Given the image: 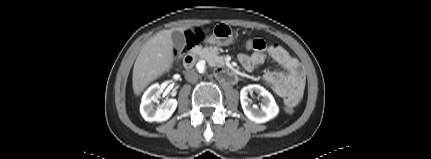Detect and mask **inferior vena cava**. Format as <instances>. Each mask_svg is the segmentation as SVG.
<instances>
[{
    "instance_id": "obj_1",
    "label": "inferior vena cava",
    "mask_w": 431,
    "mask_h": 159,
    "mask_svg": "<svg viewBox=\"0 0 431 159\" xmlns=\"http://www.w3.org/2000/svg\"><path fill=\"white\" fill-rule=\"evenodd\" d=\"M199 75L194 69L188 70L185 73V79L190 83H195L198 81Z\"/></svg>"
}]
</instances>
